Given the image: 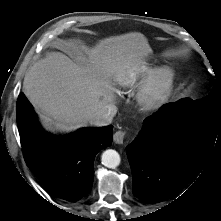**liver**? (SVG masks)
I'll return each mask as SVG.
<instances>
[{
	"instance_id": "6515ba94",
	"label": "liver",
	"mask_w": 221,
	"mask_h": 221,
	"mask_svg": "<svg viewBox=\"0 0 221 221\" xmlns=\"http://www.w3.org/2000/svg\"><path fill=\"white\" fill-rule=\"evenodd\" d=\"M149 52L139 32L106 38L93 48L81 46L80 64L52 52L29 68L23 92L45 120L75 130L87 126L97 110L115 103L111 78L141 64Z\"/></svg>"
}]
</instances>
